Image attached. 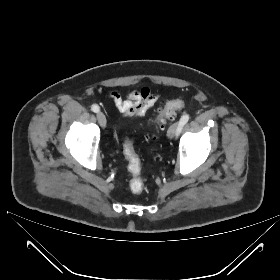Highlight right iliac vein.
<instances>
[{
  "instance_id": "right-iliac-vein-1",
  "label": "right iliac vein",
  "mask_w": 280,
  "mask_h": 280,
  "mask_svg": "<svg viewBox=\"0 0 280 280\" xmlns=\"http://www.w3.org/2000/svg\"><path fill=\"white\" fill-rule=\"evenodd\" d=\"M97 120L102 128L106 127V117L102 112L97 113Z\"/></svg>"
}]
</instances>
